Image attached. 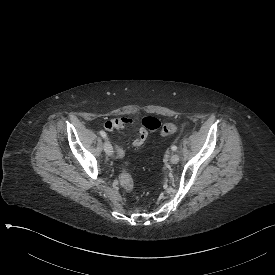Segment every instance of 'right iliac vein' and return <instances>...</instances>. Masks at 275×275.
<instances>
[{"label": "right iliac vein", "mask_w": 275, "mask_h": 275, "mask_svg": "<svg viewBox=\"0 0 275 275\" xmlns=\"http://www.w3.org/2000/svg\"><path fill=\"white\" fill-rule=\"evenodd\" d=\"M104 150L108 156H111L113 153L112 144L110 141H105L104 143Z\"/></svg>", "instance_id": "63e3f726"}]
</instances>
